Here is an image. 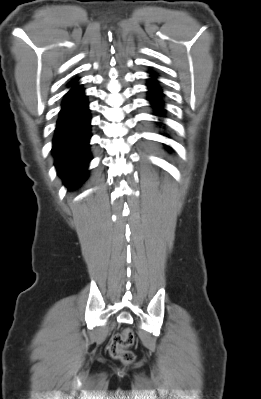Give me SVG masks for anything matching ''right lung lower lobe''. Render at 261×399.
<instances>
[{
    "instance_id": "98d812e1",
    "label": "right lung lower lobe",
    "mask_w": 261,
    "mask_h": 399,
    "mask_svg": "<svg viewBox=\"0 0 261 399\" xmlns=\"http://www.w3.org/2000/svg\"><path fill=\"white\" fill-rule=\"evenodd\" d=\"M77 81L71 82L74 86L64 96L52 148L57 172L69 189L86 179V167L91 160L88 151L91 118L84 89Z\"/></svg>"
}]
</instances>
